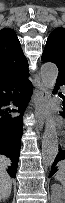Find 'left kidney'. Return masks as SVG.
<instances>
[{"mask_svg":"<svg viewBox=\"0 0 65 203\" xmlns=\"http://www.w3.org/2000/svg\"><path fill=\"white\" fill-rule=\"evenodd\" d=\"M53 187L57 191L53 193L52 203H65V188L58 184H54Z\"/></svg>","mask_w":65,"mask_h":203,"instance_id":"obj_1","label":"left kidney"}]
</instances>
